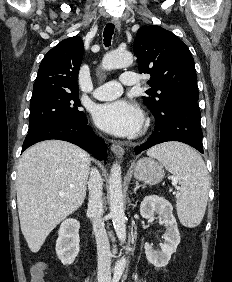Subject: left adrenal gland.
Returning <instances> with one entry per match:
<instances>
[{
  "mask_svg": "<svg viewBox=\"0 0 232 282\" xmlns=\"http://www.w3.org/2000/svg\"><path fill=\"white\" fill-rule=\"evenodd\" d=\"M135 184H136V185H135V188H134V193H136V191H137L140 187L145 188V185H139L138 182H136Z\"/></svg>",
  "mask_w": 232,
  "mask_h": 282,
  "instance_id": "a2214340",
  "label": "left adrenal gland"
}]
</instances>
